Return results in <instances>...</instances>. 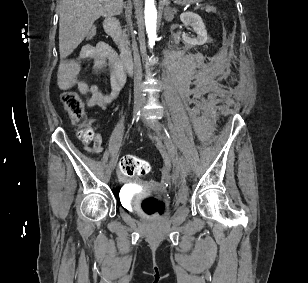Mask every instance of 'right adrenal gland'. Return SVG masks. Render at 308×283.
I'll list each match as a JSON object with an SVG mask.
<instances>
[{
    "label": "right adrenal gland",
    "instance_id": "right-adrenal-gland-1",
    "mask_svg": "<svg viewBox=\"0 0 308 283\" xmlns=\"http://www.w3.org/2000/svg\"><path fill=\"white\" fill-rule=\"evenodd\" d=\"M127 6H128L129 8H131V7H132V2H131V0H128V4H127Z\"/></svg>",
    "mask_w": 308,
    "mask_h": 283
}]
</instances>
